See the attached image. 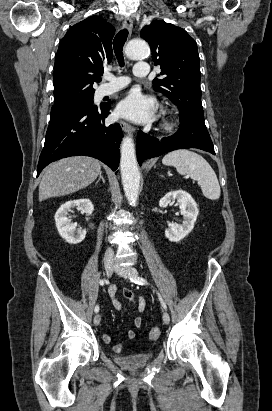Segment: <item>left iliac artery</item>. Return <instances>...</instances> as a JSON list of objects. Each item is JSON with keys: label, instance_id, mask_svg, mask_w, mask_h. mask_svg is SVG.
Wrapping results in <instances>:
<instances>
[{"label": "left iliac artery", "instance_id": "left-iliac-artery-1", "mask_svg": "<svg viewBox=\"0 0 272 411\" xmlns=\"http://www.w3.org/2000/svg\"><path fill=\"white\" fill-rule=\"evenodd\" d=\"M130 280H131L132 282L136 283V284H139V285L147 284V281H146L144 278H142V277H134V278H130ZM158 296H159V299H160V301H161V304H162L163 308L166 309V304H165V302L163 301V299H162V297L160 296L159 293H158Z\"/></svg>", "mask_w": 272, "mask_h": 411}]
</instances>
